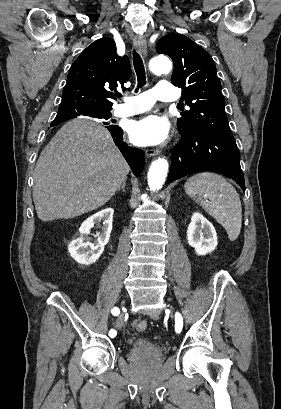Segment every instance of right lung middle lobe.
I'll return each mask as SVG.
<instances>
[{
  "mask_svg": "<svg viewBox=\"0 0 281 409\" xmlns=\"http://www.w3.org/2000/svg\"><path fill=\"white\" fill-rule=\"evenodd\" d=\"M111 117V113L110 112H98L97 117L95 118H99V119H109ZM68 119H57L55 118V120L51 123V126H55L58 125L64 121H66Z\"/></svg>",
  "mask_w": 281,
  "mask_h": 409,
  "instance_id": "right-lung-middle-lobe-1",
  "label": "right lung middle lobe"
}]
</instances>
